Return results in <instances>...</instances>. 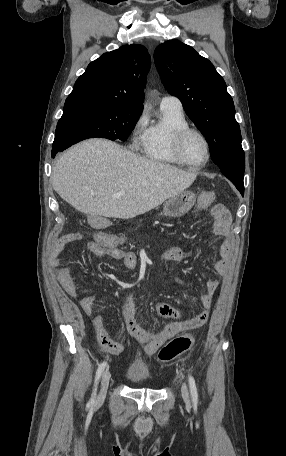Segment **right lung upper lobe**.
I'll return each instance as SVG.
<instances>
[{"label":"right lung upper lobe","instance_id":"1","mask_svg":"<svg viewBox=\"0 0 286 456\" xmlns=\"http://www.w3.org/2000/svg\"><path fill=\"white\" fill-rule=\"evenodd\" d=\"M151 64L142 45H124L91 62L67 101L87 99L143 109V86Z\"/></svg>","mask_w":286,"mask_h":456}]
</instances>
